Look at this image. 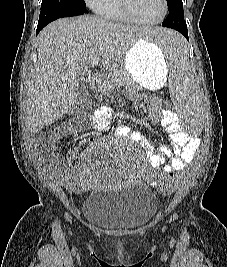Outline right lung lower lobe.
Listing matches in <instances>:
<instances>
[{
    "label": "right lung lower lobe",
    "instance_id": "1",
    "mask_svg": "<svg viewBox=\"0 0 227 267\" xmlns=\"http://www.w3.org/2000/svg\"><path fill=\"white\" fill-rule=\"evenodd\" d=\"M87 9L83 10H59V11H41L37 25L36 35L50 22L63 17H71L88 13Z\"/></svg>",
    "mask_w": 227,
    "mask_h": 267
}]
</instances>
